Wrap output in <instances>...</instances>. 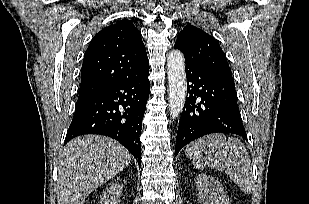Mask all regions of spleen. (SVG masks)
I'll return each mask as SVG.
<instances>
[{
  "mask_svg": "<svg viewBox=\"0 0 309 204\" xmlns=\"http://www.w3.org/2000/svg\"><path fill=\"white\" fill-rule=\"evenodd\" d=\"M185 154L197 168L225 171L241 191L246 194L253 191L250 156L239 139L227 140L223 134L208 135L189 144Z\"/></svg>",
  "mask_w": 309,
  "mask_h": 204,
  "instance_id": "spleen-1",
  "label": "spleen"
}]
</instances>
